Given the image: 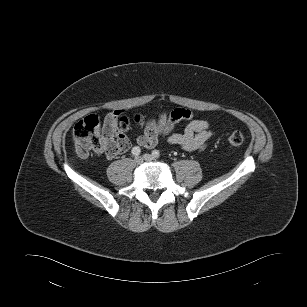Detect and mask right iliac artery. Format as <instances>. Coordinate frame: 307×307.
<instances>
[{
    "instance_id": "1",
    "label": "right iliac artery",
    "mask_w": 307,
    "mask_h": 307,
    "mask_svg": "<svg viewBox=\"0 0 307 307\" xmlns=\"http://www.w3.org/2000/svg\"><path fill=\"white\" fill-rule=\"evenodd\" d=\"M131 152L134 156H138L141 152V149L138 146H135V147H133Z\"/></svg>"
}]
</instances>
